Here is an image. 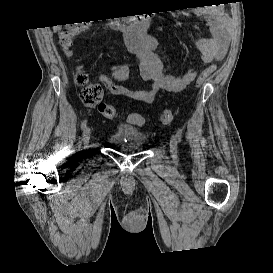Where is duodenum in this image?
<instances>
[{
    "mask_svg": "<svg viewBox=\"0 0 273 273\" xmlns=\"http://www.w3.org/2000/svg\"><path fill=\"white\" fill-rule=\"evenodd\" d=\"M152 23V17L148 14H139L125 17L123 19L117 20L115 25L126 34V39L128 34L132 31L138 33L141 39L144 37L140 34L142 30L147 28Z\"/></svg>",
    "mask_w": 273,
    "mask_h": 273,
    "instance_id": "410a0bca",
    "label": "duodenum"
}]
</instances>
